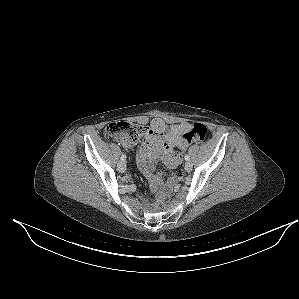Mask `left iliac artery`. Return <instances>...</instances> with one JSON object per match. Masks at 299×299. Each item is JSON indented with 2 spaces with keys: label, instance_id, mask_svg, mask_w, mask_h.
Returning a JSON list of instances; mask_svg holds the SVG:
<instances>
[{
  "label": "left iliac artery",
  "instance_id": "1",
  "mask_svg": "<svg viewBox=\"0 0 299 299\" xmlns=\"http://www.w3.org/2000/svg\"><path fill=\"white\" fill-rule=\"evenodd\" d=\"M185 160L189 161L190 160V156L189 155H185Z\"/></svg>",
  "mask_w": 299,
  "mask_h": 299
}]
</instances>
